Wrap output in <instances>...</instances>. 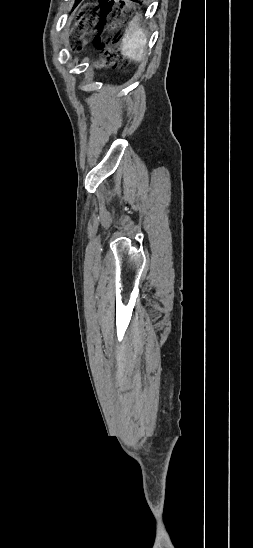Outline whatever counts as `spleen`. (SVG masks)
Masks as SVG:
<instances>
[{
    "mask_svg": "<svg viewBox=\"0 0 253 548\" xmlns=\"http://www.w3.org/2000/svg\"><path fill=\"white\" fill-rule=\"evenodd\" d=\"M146 45L147 38L139 26L138 17H134L122 39V54L131 60L141 61L145 55Z\"/></svg>",
    "mask_w": 253,
    "mask_h": 548,
    "instance_id": "1",
    "label": "spleen"
}]
</instances>
